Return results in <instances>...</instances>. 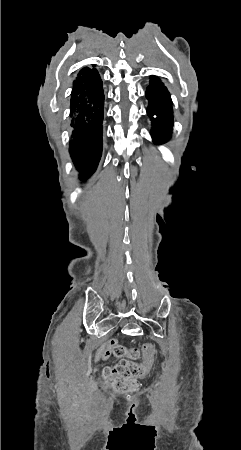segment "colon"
<instances>
[{"label":"colon","mask_w":241,"mask_h":450,"mask_svg":"<svg viewBox=\"0 0 241 450\" xmlns=\"http://www.w3.org/2000/svg\"><path fill=\"white\" fill-rule=\"evenodd\" d=\"M145 361L137 363L136 361L122 360L115 364L114 370L111 371L109 367L102 369L104 379L109 381L116 390H131L134 387V382L130 380L131 376H144L148 369L153 367L154 355L157 351L155 345L151 342H145L143 345ZM113 353L122 357L128 355L131 358H136L139 355L137 349L126 350L123 347H118L113 350Z\"/></svg>","instance_id":"5ec220e1"}]
</instances>
